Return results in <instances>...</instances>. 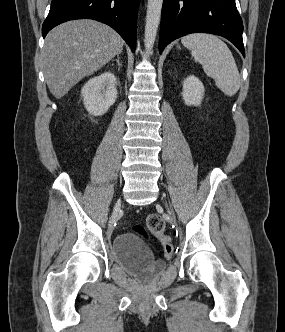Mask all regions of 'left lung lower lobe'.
<instances>
[{"instance_id": "1", "label": "left lung lower lobe", "mask_w": 285, "mask_h": 332, "mask_svg": "<svg viewBox=\"0 0 285 332\" xmlns=\"http://www.w3.org/2000/svg\"><path fill=\"white\" fill-rule=\"evenodd\" d=\"M196 32L225 37L245 57L243 23L235 0H163L159 53L171 41Z\"/></svg>"}]
</instances>
